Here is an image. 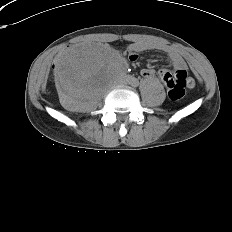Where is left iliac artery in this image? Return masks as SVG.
Listing matches in <instances>:
<instances>
[{"label":"left iliac artery","mask_w":232,"mask_h":232,"mask_svg":"<svg viewBox=\"0 0 232 232\" xmlns=\"http://www.w3.org/2000/svg\"><path fill=\"white\" fill-rule=\"evenodd\" d=\"M131 84L132 86L137 87L139 85V81L136 79H133Z\"/></svg>","instance_id":"44dca946"}]
</instances>
